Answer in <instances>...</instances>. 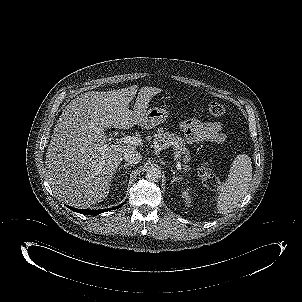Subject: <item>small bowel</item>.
Wrapping results in <instances>:
<instances>
[{"mask_svg": "<svg viewBox=\"0 0 302 302\" xmlns=\"http://www.w3.org/2000/svg\"><path fill=\"white\" fill-rule=\"evenodd\" d=\"M179 128L189 143H223L226 140L223 126L219 122H204L197 119H189L181 121Z\"/></svg>", "mask_w": 302, "mask_h": 302, "instance_id": "1", "label": "small bowel"}]
</instances>
